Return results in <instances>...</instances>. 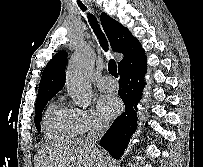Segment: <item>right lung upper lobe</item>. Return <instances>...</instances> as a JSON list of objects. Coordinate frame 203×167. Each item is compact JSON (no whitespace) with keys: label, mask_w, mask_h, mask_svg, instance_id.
<instances>
[{"label":"right lung upper lobe","mask_w":203,"mask_h":167,"mask_svg":"<svg viewBox=\"0 0 203 167\" xmlns=\"http://www.w3.org/2000/svg\"><path fill=\"white\" fill-rule=\"evenodd\" d=\"M100 20L113 51L124 55L118 63L119 71L130 68L146 58L141 44L126 27L106 13L101 14ZM67 56L68 54L65 51H60L45 67L40 80L36 103L52 98L65 85Z\"/></svg>","instance_id":"right-lung-upper-lobe-1"}]
</instances>
